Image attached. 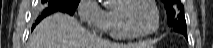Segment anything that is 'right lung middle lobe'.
<instances>
[{"instance_id": "1", "label": "right lung middle lobe", "mask_w": 213, "mask_h": 48, "mask_svg": "<svg viewBox=\"0 0 213 48\" xmlns=\"http://www.w3.org/2000/svg\"><path fill=\"white\" fill-rule=\"evenodd\" d=\"M80 0H42V3L46 7H55L63 12L74 14Z\"/></svg>"}]
</instances>
